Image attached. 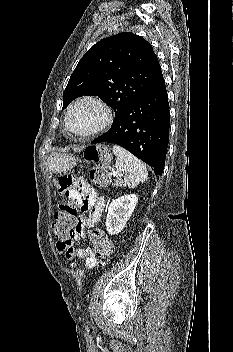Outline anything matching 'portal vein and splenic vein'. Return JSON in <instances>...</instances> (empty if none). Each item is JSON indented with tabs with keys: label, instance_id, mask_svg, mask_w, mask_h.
Returning <instances> with one entry per match:
<instances>
[{
	"label": "portal vein and splenic vein",
	"instance_id": "obj_1",
	"mask_svg": "<svg viewBox=\"0 0 233 352\" xmlns=\"http://www.w3.org/2000/svg\"><path fill=\"white\" fill-rule=\"evenodd\" d=\"M112 175H113V177H118L119 176V174L117 172H115V171L112 172Z\"/></svg>",
	"mask_w": 233,
	"mask_h": 352
}]
</instances>
